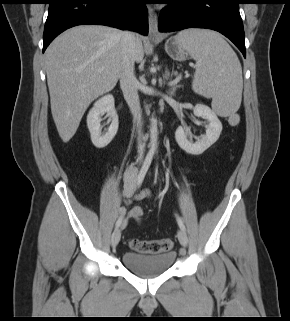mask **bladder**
I'll return each instance as SVG.
<instances>
[{
	"instance_id": "bladder-1",
	"label": "bladder",
	"mask_w": 290,
	"mask_h": 321,
	"mask_svg": "<svg viewBox=\"0 0 290 321\" xmlns=\"http://www.w3.org/2000/svg\"><path fill=\"white\" fill-rule=\"evenodd\" d=\"M176 260L174 251L160 254H142L125 252L122 255L123 265L136 275L144 278L156 277L167 272Z\"/></svg>"
}]
</instances>
